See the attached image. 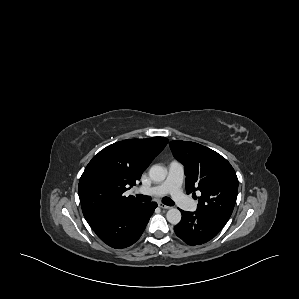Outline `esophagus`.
<instances>
[{
    "label": "esophagus",
    "mask_w": 299,
    "mask_h": 299,
    "mask_svg": "<svg viewBox=\"0 0 299 299\" xmlns=\"http://www.w3.org/2000/svg\"><path fill=\"white\" fill-rule=\"evenodd\" d=\"M158 206H159L160 208H162V209H165V210H168V209L171 208L170 206H167V205H165V204H163V203H158Z\"/></svg>",
    "instance_id": "1"
}]
</instances>
